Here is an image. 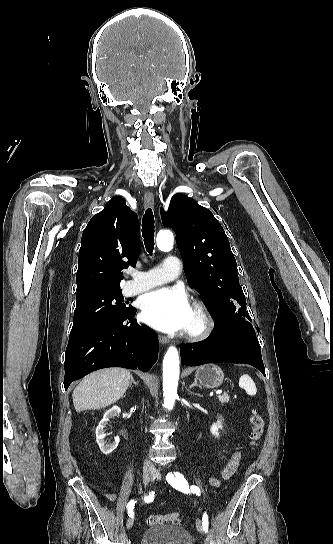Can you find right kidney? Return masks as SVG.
<instances>
[{"mask_svg":"<svg viewBox=\"0 0 333 544\" xmlns=\"http://www.w3.org/2000/svg\"><path fill=\"white\" fill-rule=\"evenodd\" d=\"M120 412H121V409L118 406H113L112 408H110L104 413L102 420L100 421L99 425L96 428V441L99 445L101 452L105 455L110 454L112 451H114L117 448L120 439L119 437H115L113 443L106 444V441H105L106 434H105L104 428L108 424L109 419L118 416Z\"/></svg>","mask_w":333,"mask_h":544,"instance_id":"ca27d5eb","label":"right kidney"}]
</instances>
